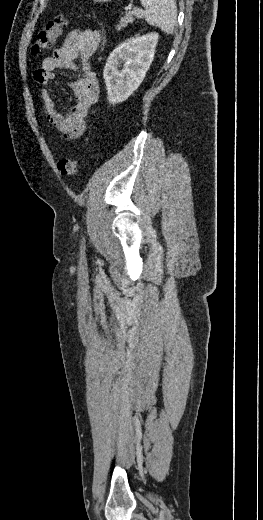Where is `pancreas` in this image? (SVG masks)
Segmentation results:
<instances>
[{
	"label": "pancreas",
	"instance_id": "obj_1",
	"mask_svg": "<svg viewBox=\"0 0 263 520\" xmlns=\"http://www.w3.org/2000/svg\"><path fill=\"white\" fill-rule=\"evenodd\" d=\"M144 14L143 11H140L139 9L129 10L126 12V15L124 17H121L119 24L116 26L118 30H121L125 28L128 24L133 23L135 18L141 19L143 18Z\"/></svg>",
	"mask_w": 263,
	"mask_h": 520
}]
</instances>
